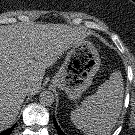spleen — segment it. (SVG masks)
I'll use <instances>...</instances> for the list:
<instances>
[{
	"instance_id": "1",
	"label": "spleen",
	"mask_w": 135,
	"mask_h": 135,
	"mask_svg": "<svg viewBox=\"0 0 135 135\" xmlns=\"http://www.w3.org/2000/svg\"><path fill=\"white\" fill-rule=\"evenodd\" d=\"M123 93L122 75L114 72L93 95L71 111V121L87 135H108L120 114Z\"/></svg>"
}]
</instances>
